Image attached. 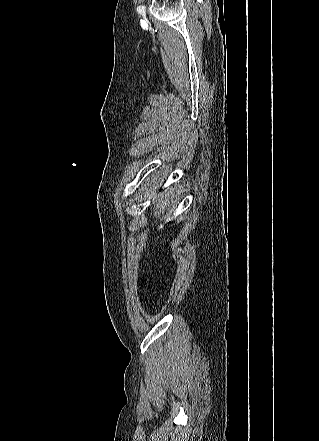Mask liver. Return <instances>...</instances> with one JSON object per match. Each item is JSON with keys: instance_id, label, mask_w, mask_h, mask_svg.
Wrapping results in <instances>:
<instances>
[{"instance_id": "obj_1", "label": "liver", "mask_w": 319, "mask_h": 441, "mask_svg": "<svg viewBox=\"0 0 319 441\" xmlns=\"http://www.w3.org/2000/svg\"><path fill=\"white\" fill-rule=\"evenodd\" d=\"M164 181V174H153L151 179H149L144 188V197L152 198L153 203L156 204L153 208V215L160 217L161 213H164L165 210V202H167L170 198V193L166 190L161 194L162 198L157 197L156 190ZM176 189L174 188L173 191ZM152 215V214H151Z\"/></svg>"}]
</instances>
